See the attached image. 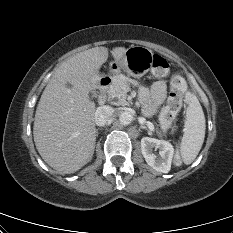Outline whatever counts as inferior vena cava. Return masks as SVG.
Instances as JSON below:
<instances>
[{"label":"inferior vena cava","instance_id":"602c4592","mask_svg":"<svg viewBox=\"0 0 233 233\" xmlns=\"http://www.w3.org/2000/svg\"><path fill=\"white\" fill-rule=\"evenodd\" d=\"M114 109L110 106L98 107L95 112V123L99 127L106 126L112 121Z\"/></svg>","mask_w":233,"mask_h":233}]
</instances>
